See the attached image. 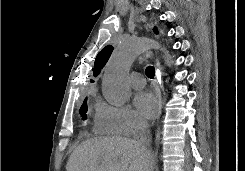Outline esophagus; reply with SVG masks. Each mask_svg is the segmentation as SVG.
Masks as SVG:
<instances>
[{
  "label": "esophagus",
  "mask_w": 245,
  "mask_h": 171,
  "mask_svg": "<svg viewBox=\"0 0 245 171\" xmlns=\"http://www.w3.org/2000/svg\"><path fill=\"white\" fill-rule=\"evenodd\" d=\"M156 73H155V79H154V88L156 97L158 100V110L156 114V119L158 120L161 115L162 107H163V98H162V67L159 63V61H156Z\"/></svg>",
  "instance_id": "esophagus-1"
}]
</instances>
